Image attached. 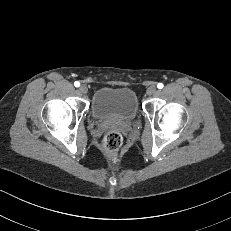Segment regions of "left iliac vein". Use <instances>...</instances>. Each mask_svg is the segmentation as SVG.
Wrapping results in <instances>:
<instances>
[{
	"mask_svg": "<svg viewBox=\"0 0 231 231\" xmlns=\"http://www.w3.org/2000/svg\"><path fill=\"white\" fill-rule=\"evenodd\" d=\"M156 93H157V88H156V86L152 85V86L148 87V89H147V94H148L149 96L154 95V94H156Z\"/></svg>",
	"mask_w": 231,
	"mask_h": 231,
	"instance_id": "4c4485c4",
	"label": "left iliac vein"
}]
</instances>
